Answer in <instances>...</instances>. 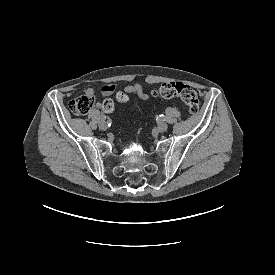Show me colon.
Instances as JSON below:
<instances>
[{"label": "colon", "mask_w": 275, "mask_h": 275, "mask_svg": "<svg viewBox=\"0 0 275 275\" xmlns=\"http://www.w3.org/2000/svg\"><path fill=\"white\" fill-rule=\"evenodd\" d=\"M152 94L155 97L164 99L179 98L187 107L191 114L198 112L200 104L196 91L188 84L180 81L164 82L156 86ZM128 101L126 93L120 91L116 94L115 98H106L103 101V110L105 112H112L117 104H125ZM93 96L84 95L77 97L70 101L69 109L75 115H85L93 107Z\"/></svg>", "instance_id": "5ec220e1"}]
</instances>
